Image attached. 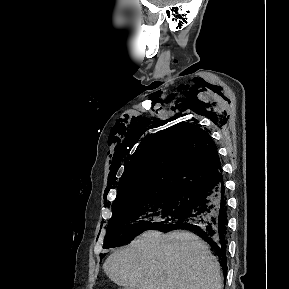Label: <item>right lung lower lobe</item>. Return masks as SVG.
<instances>
[{
  "label": "right lung lower lobe",
  "mask_w": 289,
  "mask_h": 289,
  "mask_svg": "<svg viewBox=\"0 0 289 289\" xmlns=\"http://www.w3.org/2000/svg\"><path fill=\"white\" fill-rule=\"evenodd\" d=\"M194 198L184 214L170 218L157 230L185 229L195 232L215 251L227 274V204L223 176L193 191Z\"/></svg>",
  "instance_id": "obj_1"
}]
</instances>
